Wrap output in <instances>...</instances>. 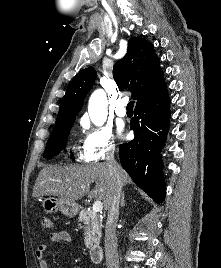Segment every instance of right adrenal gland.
<instances>
[{
    "label": "right adrenal gland",
    "instance_id": "right-adrenal-gland-1",
    "mask_svg": "<svg viewBox=\"0 0 221 268\" xmlns=\"http://www.w3.org/2000/svg\"><path fill=\"white\" fill-rule=\"evenodd\" d=\"M124 196H125V194H124V192H122V194H121V207L125 206Z\"/></svg>",
    "mask_w": 221,
    "mask_h": 268
}]
</instances>
